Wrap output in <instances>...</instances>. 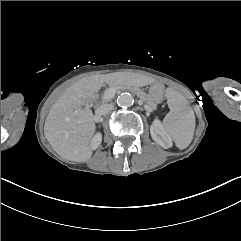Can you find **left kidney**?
I'll list each match as a JSON object with an SVG mask.
<instances>
[{
    "mask_svg": "<svg viewBox=\"0 0 241 241\" xmlns=\"http://www.w3.org/2000/svg\"><path fill=\"white\" fill-rule=\"evenodd\" d=\"M152 139L162 148L171 147V139L158 121H154L150 129Z\"/></svg>",
    "mask_w": 241,
    "mask_h": 241,
    "instance_id": "1",
    "label": "left kidney"
}]
</instances>
